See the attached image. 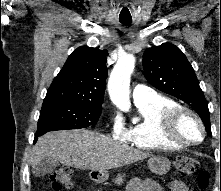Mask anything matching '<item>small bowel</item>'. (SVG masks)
I'll list each match as a JSON object with an SVG mask.
<instances>
[{"label":"small bowel","instance_id":"obj_1","mask_svg":"<svg viewBox=\"0 0 221 191\" xmlns=\"http://www.w3.org/2000/svg\"><path fill=\"white\" fill-rule=\"evenodd\" d=\"M168 188L170 191H189L188 186L179 180L169 182ZM127 191H160V187L153 180L134 178L129 182Z\"/></svg>","mask_w":221,"mask_h":191}]
</instances>
